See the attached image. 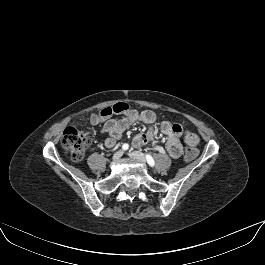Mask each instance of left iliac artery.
Instances as JSON below:
<instances>
[{"label":"left iliac artery","instance_id":"44dca946","mask_svg":"<svg viewBox=\"0 0 265 265\" xmlns=\"http://www.w3.org/2000/svg\"><path fill=\"white\" fill-rule=\"evenodd\" d=\"M146 160H147V163H148L151 167H153V166L155 165V161H154V159H153V157H152L151 155L147 154V155H146Z\"/></svg>","mask_w":265,"mask_h":265}]
</instances>
